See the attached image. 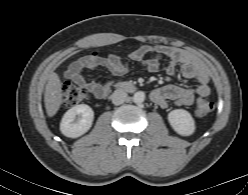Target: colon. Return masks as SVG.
<instances>
[{
	"label": "colon",
	"instance_id": "colon-1",
	"mask_svg": "<svg viewBox=\"0 0 248 195\" xmlns=\"http://www.w3.org/2000/svg\"><path fill=\"white\" fill-rule=\"evenodd\" d=\"M64 103L67 107H74L87 98V92L81 86L72 82H65L62 87ZM214 109V104L207 97L201 96L196 100L195 115L199 118L208 116Z\"/></svg>",
	"mask_w": 248,
	"mask_h": 195
}]
</instances>
